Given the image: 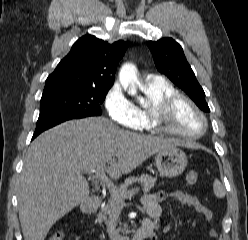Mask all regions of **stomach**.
<instances>
[{
	"label": "stomach",
	"mask_w": 248,
	"mask_h": 240,
	"mask_svg": "<svg viewBox=\"0 0 248 240\" xmlns=\"http://www.w3.org/2000/svg\"><path fill=\"white\" fill-rule=\"evenodd\" d=\"M156 167L161 176L176 177L187 166V157L184 151L177 147L159 151L155 157Z\"/></svg>",
	"instance_id": "stomach-1"
}]
</instances>
